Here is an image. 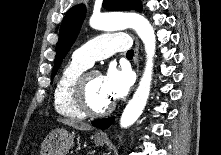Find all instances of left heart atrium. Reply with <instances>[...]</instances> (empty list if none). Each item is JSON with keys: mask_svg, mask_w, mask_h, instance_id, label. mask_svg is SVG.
Wrapping results in <instances>:
<instances>
[{"mask_svg": "<svg viewBox=\"0 0 221 155\" xmlns=\"http://www.w3.org/2000/svg\"><path fill=\"white\" fill-rule=\"evenodd\" d=\"M102 79L104 90L111 100L125 96L131 83L129 72L117 69L115 66H110Z\"/></svg>", "mask_w": 221, "mask_h": 155, "instance_id": "left-heart-atrium-1", "label": "left heart atrium"}]
</instances>
